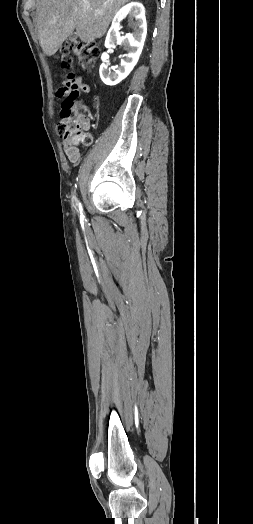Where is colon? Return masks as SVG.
<instances>
[{
    "label": "colon",
    "mask_w": 253,
    "mask_h": 524,
    "mask_svg": "<svg viewBox=\"0 0 253 524\" xmlns=\"http://www.w3.org/2000/svg\"><path fill=\"white\" fill-rule=\"evenodd\" d=\"M99 54L100 48L97 43L75 41L65 45L60 50L58 60L64 70H69L72 67L74 58L78 60L84 70H90ZM91 87V80L82 79L80 75L69 74L59 88L63 92L64 99L56 128L58 134L74 148L80 145L89 146L93 140L92 135L86 130L78 104L79 94H89Z\"/></svg>",
    "instance_id": "1"
}]
</instances>
